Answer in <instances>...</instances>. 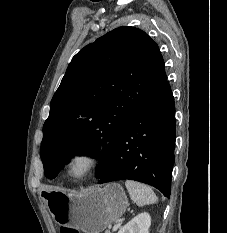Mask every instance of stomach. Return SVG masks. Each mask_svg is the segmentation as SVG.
I'll list each match as a JSON object with an SVG mask.
<instances>
[{"instance_id": "1", "label": "stomach", "mask_w": 227, "mask_h": 233, "mask_svg": "<svg viewBox=\"0 0 227 233\" xmlns=\"http://www.w3.org/2000/svg\"><path fill=\"white\" fill-rule=\"evenodd\" d=\"M46 198L48 209L59 225L86 233H100L128 207L126 193L119 184L92 188L80 194L50 189Z\"/></svg>"}]
</instances>
